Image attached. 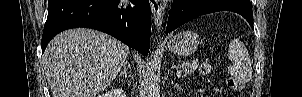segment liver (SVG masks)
<instances>
[{"label":"liver","mask_w":302,"mask_h":97,"mask_svg":"<svg viewBox=\"0 0 302 97\" xmlns=\"http://www.w3.org/2000/svg\"><path fill=\"white\" fill-rule=\"evenodd\" d=\"M129 49L92 29H71L55 36L42 57L53 97H95L124 65Z\"/></svg>","instance_id":"obj_1"}]
</instances>
